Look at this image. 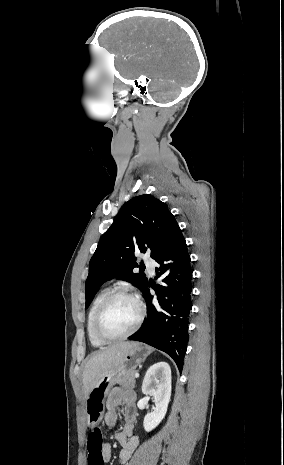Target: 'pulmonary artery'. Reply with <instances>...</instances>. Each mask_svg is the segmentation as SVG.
I'll use <instances>...</instances> for the list:
<instances>
[{
  "instance_id": "e3ab8cb5",
  "label": "pulmonary artery",
  "mask_w": 284,
  "mask_h": 465,
  "mask_svg": "<svg viewBox=\"0 0 284 465\" xmlns=\"http://www.w3.org/2000/svg\"><path fill=\"white\" fill-rule=\"evenodd\" d=\"M141 261L143 263H149L151 261V256L149 254H143L141 256Z\"/></svg>"
}]
</instances>
